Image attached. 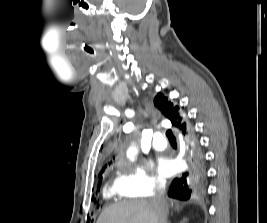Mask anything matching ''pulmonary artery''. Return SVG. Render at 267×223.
I'll use <instances>...</instances> for the list:
<instances>
[{"instance_id":"1","label":"pulmonary artery","mask_w":267,"mask_h":223,"mask_svg":"<svg viewBox=\"0 0 267 223\" xmlns=\"http://www.w3.org/2000/svg\"><path fill=\"white\" fill-rule=\"evenodd\" d=\"M152 145L155 150L162 151L167 147L168 143L161 134L157 133L153 137Z\"/></svg>"}]
</instances>
